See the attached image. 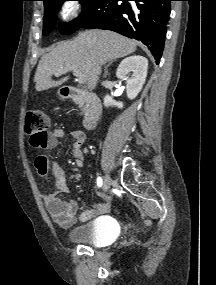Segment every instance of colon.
<instances>
[{
	"label": "colon",
	"mask_w": 216,
	"mask_h": 285,
	"mask_svg": "<svg viewBox=\"0 0 216 285\" xmlns=\"http://www.w3.org/2000/svg\"><path fill=\"white\" fill-rule=\"evenodd\" d=\"M49 117L41 110H29L25 116V132L33 148L43 149L48 143Z\"/></svg>",
	"instance_id": "colon-1"
}]
</instances>
